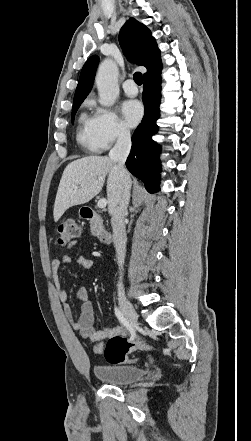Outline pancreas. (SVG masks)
Returning a JSON list of instances; mask_svg holds the SVG:
<instances>
[{"label": "pancreas", "mask_w": 251, "mask_h": 441, "mask_svg": "<svg viewBox=\"0 0 251 441\" xmlns=\"http://www.w3.org/2000/svg\"><path fill=\"white\" fill-rule=\"evenodd\" d=\"M90 229H91L92 235H94V236H99L100 232L102 231L101 226L96 221L90 222Z\"/></svg>", "instance_id": "obj_1"}]
</instances>
